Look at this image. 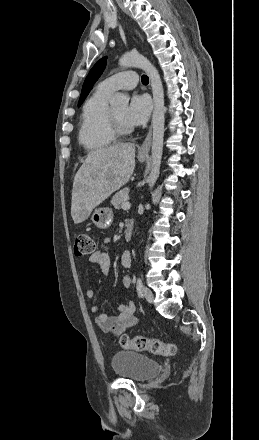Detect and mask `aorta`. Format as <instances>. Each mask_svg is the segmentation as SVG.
Segmentation results:
<instances>
[{
	"label": "aorta",
	"mask_w": 259,
	"mask_h": 440,
	"mask_svg": "<svg viewBox=\"0 0 259 440\" xmlns=\"http://www.w3.org/2000/svg\"><path fill=\"white\" fill-rule=\"evenodd\" d=\"M121 67H138L148 75L153 94L154 111L152 117L153 141H152V168L148 178L149 187L152 188L159 176L164 136V91L160 75L157 69L144 56L136 53L123 55L119 60ZM129 97L123 93H116L110 99L113 107H127Z\"/></svg>",
	"instance_id": "1"
}]
</instances>
